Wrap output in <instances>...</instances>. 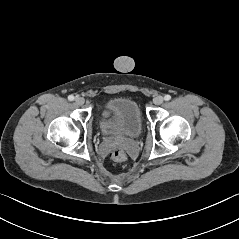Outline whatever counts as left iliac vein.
<instances>
[{"mask_svg":"<svg viewBox=\"0 0 239 239\" xmlns=\"http://www.w3.org/2000/svg\"><path fill=\"white\" fill-rule=\"evenodd\" d=\"M164 101V98L162 96H157L154 98L153 102L155 105H161Z\"/></svg>","mask_w":239,"mask_h":239,"instance_id":"obj_1","label":"left iliac vein"}]
</instances>
